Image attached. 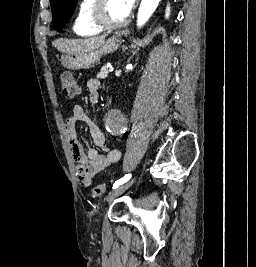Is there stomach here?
<instances>
[{
    "instance_id": "stomach-1",
    "label": "stomach",
    "mask_w": 256,
    "mask_h": 267,
    "mask_svg": "<svg viewBox=\"0 0 256 267\" xmlns=\"http://www.w3.org/2000/svg\"><path fill=\"white\" fill-rule=\"evenodd\" d=\"M125 32H115L114 36L108 38L106 42H103L96 50H88L84 54H74V56H68L70 62H60V67H71L70 70H85L92 64L99 62L102 56L105 54H112L115 50H118L122 42H124Z\"/></svg>"
}]
</instances>
